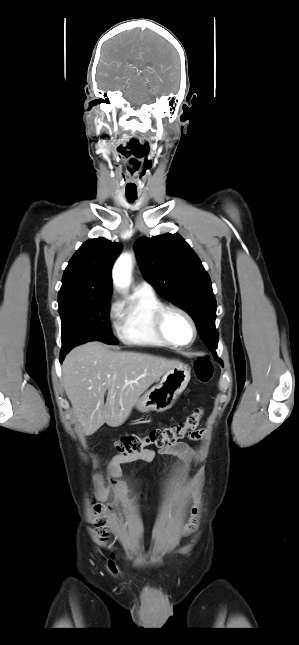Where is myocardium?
<instances>
[{
	"label": "myocardium",
	"mask_w": 299,
	"mask_h": 645,
	"mask_svg": "<svg viewBox=\"0 0 299 645\" xmlns=\"http://www.w3.org/2000/svg\"><path fill=\"white\" fill-rule=\"evenodd\" d=\"M169 312H177L184 316L187 321L189 322L191 329H192V337L191 340L187 343H178L173 341L168 334L166 333L165 330V320L166 316ZM154 327L157 335L160 337L162 341H164L167 345L177 347V348H183V347H188L191 344L194 343L197 337V326L196 323L193 319V317L190 315L189 312H187L185 309H183L180 306L177 305H163L158 309V311L155 313L154 316Z\"/></svg>",
	"instance_id": "1"
}]
</instances>
